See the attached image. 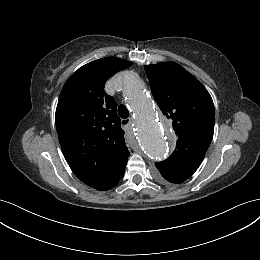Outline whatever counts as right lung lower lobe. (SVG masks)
<instances>
[{"label":"right lung lower lobe","instance_id":"right-lung-lower-lobe-1","mask_svg":"<svg viewBox=\"0 0 260 260\" xmlns=\"http://www.w3.org/2000/svg\"><path fill=\"white\" fill-rule=\"evenodd\" d=\"M123 175L116 182L109 184V185H106V186H103L101 188H98V190L104 191V190H109V189L115 187L117 185V183L120 181V179L123 177Z\"/></svg>","mask_w":260,"mask_h":260}]
</instances>
